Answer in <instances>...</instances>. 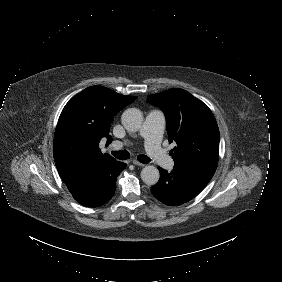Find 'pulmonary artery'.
I'll list each match as a JSON object with an SVG mask.
<instances>
[{"mask_svg": "<svg viewBox=\"0 0 282 282\" xmlns=\"http://www.w3.org/2000/svg\"><path fill=\"white\" fill-rule=\"evenodd\" d=\"M165 119L160 111H151L145 118L139 135L144 139L145 151L148 157L155 161L161 169L168 168L172 163L171 156L165 152L161 144V135L164 131ZM111 147L120 149L123 143L114 142Z\"/></svg>", "mask_w": 282, "mask_h": 282, "instance_id": "obj_1", "label": "pulmonary artery"}]
</instances>
